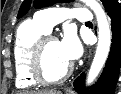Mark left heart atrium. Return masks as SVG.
Segmentation results:
<instances>
[{
    "label": "left heart atrium",
    "mask_w": 121,
    "mask_h": 94,
    "mask_svg": "<svg viewBox=\"0 0 121 94\" xmlns=\"http://www.w3.org/2000/svg\"><path fill=\"white\" fill-rule=\"evenodd\" d=\"M59 45L62 53L69 62L76 60L82 53L81 43L72 33H67L59 42Z\"/></svg>",
    "instance_id": "left-heart-atrium-1"
}]
</instances>
